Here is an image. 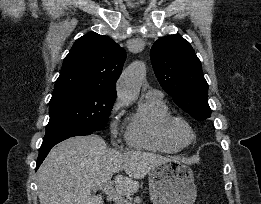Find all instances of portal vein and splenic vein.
Listing matches in <instances>:
<instances>
[{
  "label": "portal vein and splenic vein",
  "instance_id": "18ae733b",
  "mask_svg": "<svg viewBox=\"0 0 261 204\" xmlns=\"http://www.w3.org/2000/svg\"><path fill=\"white\" fill-rule=\"evenodd\" d=\"M96 189H100L105 192L116 204H132L130 201L124 199L121 194L115 191L111 182L99 185Z\"/></svg>",
  "mask_w": 261,
  "mask_h": 204
}]
</instances>
